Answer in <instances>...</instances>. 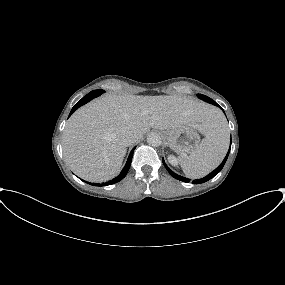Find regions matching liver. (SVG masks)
<instances>
[{"mask_svg":"<svg viewBox=\"0 0 285 285\" xmlns=\"http://www.w3.org/2000/svg\"><path fill=\"white\" fill-rule=\"evenodd\" d=\"M218 116L215 107L187 97L106 95L79 108L67 121L64 159L80 178L104 182L120 171L127 147L124 134L133 133L139 141L150 128L189 126L206 135Z\"/></svg>","mask_w":285,"mask_h":285,"instance_id":"obj_1","label":"liver"}]
</instances>
